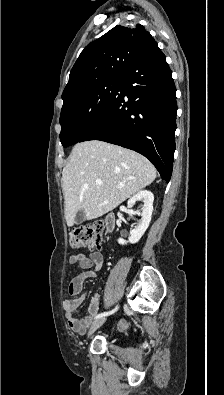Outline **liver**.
I'll return each mask as SVG.
<instances>
[{"label": "liver", "mask_w": 224, "mask_h": 395, "mask_svg": "<svg viewBox=\"0 0 224 395\" xmlns=\"http://www.w3.org/2000/svg\"><path fill=\"white\" fill-rule=\"evenodd\" d=\"M155 178V167L135 151L98 140L76 144L62 172L67 225L80 209L87 220L112 211Z\"/></svg>", "instance_id": "6515ba94"}]
</instances>
